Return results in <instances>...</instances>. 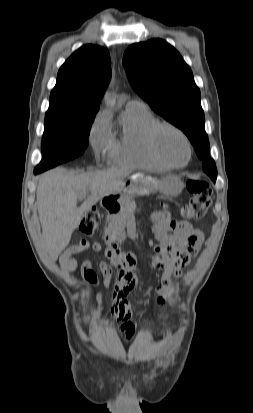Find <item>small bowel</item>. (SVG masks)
Instances as JSON below:
<instances>
[{
  "instance_id": "obj_1",
  "label": "small bowel",
  "mask_w": 253,
  "mask_h": 413,
  "mask_svg": "<svg viewBox=\"0 0 253 413\" xmlns=\"http://www.w3.org/2000/svg\"><path fill=\"white\" fill-rule=\"evenodd\" d=\"M151 220L159 242L152 258V267L162 271L157 290V303L162 306L164 296L171 291L172 277H181L182 269L200 249L204 235L200 229L193 228L189 223L174 220L169 211L153 212ZM88 249L94 253L103 252L106 256V260L99 264L105 287L111 283L112 267L118 268L112 297L113 319L118 323L119 330L126 339L131 340L135 333V326L131 321L132 309L127 297L139 283V277L134 271L135 256L130 253L118 256L99 242L90 244L82 240L61 255L60 264L63 270L75 271L79 265V257ZM80 269L85 280L92 284L96 283L97 277L91 260L84 259Z\"/></svg>"
}]
</instances>
